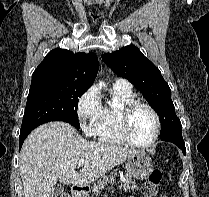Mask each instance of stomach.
<instances>
[{"instance_id":"1","label":"stomach","mask_w":209,"mask_h":197,"mask_svg":"<svg viewBox=\"0 0 209 197\" xmlns=\"http://www.w3.org/2000/svg\"><path fill=\"white\" fill-rule=\"evenodd\" d=\"M126 170L130 177L143 180L150 176L154 165L151 158L145 152L140 151L127 159Z\"/></svg>"}]
</instances>
